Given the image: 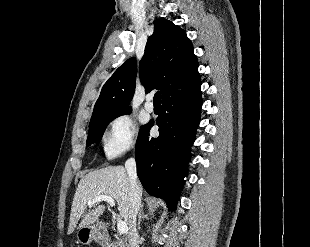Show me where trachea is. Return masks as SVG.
Segmentation results:
<instances>
[{
    "mask_svg": "<svg viewBox=\"0 0 310 247\" xmlns=\"http://www.w3.org/2000/svg\"><path fill=\"white\" fill-rule=\"evenodd\" d=\"M153 100L155 104H160L161 103V92H156Z\"/></svg>",
    "mask_w": 310,
    "mask_h": 247,
    "instance_id": "obj_1",
    "label": "trachea"
}]
</instances>
